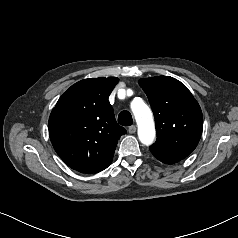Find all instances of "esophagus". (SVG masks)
<instances>
[{
  "instance_id": "34e87169",
  "label": "esophagus",
  "mask_w": 238,
  "mask_h": 238,
  "mask_svg": "<svg viewBox=\"0 0 238 238\" xmlns=\"http://www.w3.org/2000/svg\"><path fill=\"white\" fill-rule=\"evenodd\" d=\"M136 126H134V125H132V126H130L129 128H128V132L130 133V134H134L135 132H136Z\"/></svg>"
}]
</instances>
